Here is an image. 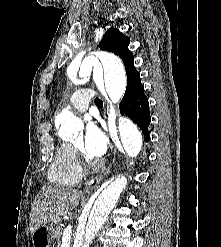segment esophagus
Returning <instances> with one entry per match:
<instances>
[{"label": "esophagus", "instance_id": "34e87169", "mask_svg": "<svg viewBox=\"0 0 221 247\" xmlns=\"http://www.w3.org/2000/svg\"><path fill=\"white\" fill-rule=\"evenodd\" d=\"M113 165H114V160L110 163V165L105 171H103L100 175H98L88 183V185L85 187V192H89L95 189L101 183V181L110 173V170Z\"/></svg>", "mask_w": 221, "mask_h": 247}]
</instances>
